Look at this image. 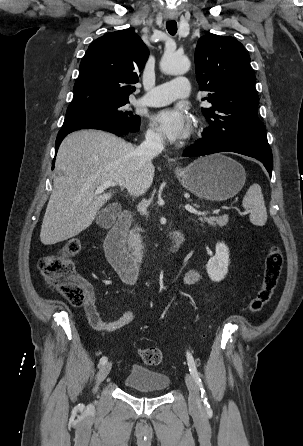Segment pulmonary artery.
<instances>
[{
    "instance_id": "obj_1",
    "label": "pulmonary artery",
    "mask_w": 303,
    "mask_h": 446,
    "mask_svg": "<svg viewBox=\"0 0 303 446\" xmlns=\"http://www.w3.org/2000/svg\"><path fill=\"white\" fill-rule=\"evenodd\" d=\"M190 85L185 77H176L169 82L156 86L138 102L146 106H162L189 95Z\"/></svg>"
}]
</instances>
